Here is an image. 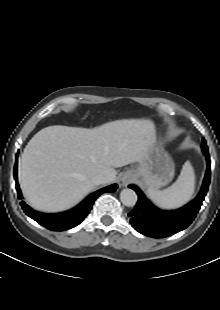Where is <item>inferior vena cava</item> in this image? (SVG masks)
Masks as SVG:
<instances>
[{"instance_id": "602c4592", "label": "inferior vena cava", "mask_w": 220, "mask_h": 310, "mask_svg": "<svg viewBox=\"0 0 220 310\" xmlns=\"http://www.w3.org/2000/svg\"><path fill=\"white\" fill-rule=\"evenodd\" d=\"M91 181L94 185H100V184L107 183L108 178L102 174H97V175L92 177Z\"/></svg>"}]
</instances>
